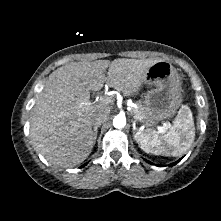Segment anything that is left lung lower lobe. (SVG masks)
Here are the masks:
<instances>
[{"label": "left lung lower lobe", "instance_id": "1", "mask_svg": "<svg viewBox=\"0 0 221 221\" xmlns=\"http://www.w3.org/2000/svg\"><path fill=\"white\" fill-rule=\"evenodd\" d=\"M182 159V158H181ZM180 159V160H181ZM180 160H178V161H176V162H174V163H172V164H170V166H173V165H175V164H177ZM147 161V160H146ZM149 164H153L152 162H150V161H147ZM158 166H163V165H158Z\"/></svg>", "mask_w": 221, "mask_h": 221}]
</instances>
